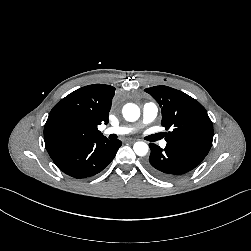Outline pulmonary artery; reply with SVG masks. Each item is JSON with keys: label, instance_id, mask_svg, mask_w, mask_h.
Returning a JSON list of instances; mask_svg holds the SVG:
<instances>
[{"label": "pulmonary artery", "instance_id": "e3ab8cb5", "mask_svg": "<svg viewBox=\"0 0 251 251\" xmlns=\"http://www.w3.org/2000/svg\"><path fill=\"white\" fill-rule=\"evenodd\" d=\"M158 114V108L156 104L152 102L145 103L142 108V119L141 124L147 125L155 120ZM135 130L134 126H116V127H108L104 129L103 134L104 135H110V134H117V135H123L131 133ZM163 147L166 146V141H163L161 143Z\"/></svg>", "mask_w": 251, "mask_h": 251}]
</instances>
